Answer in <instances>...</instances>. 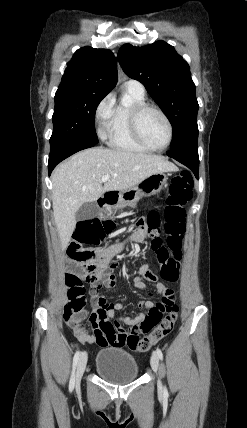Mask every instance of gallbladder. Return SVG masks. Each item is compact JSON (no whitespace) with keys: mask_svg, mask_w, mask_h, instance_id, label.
Masks as SVG:
<instances>
[{"mask_svg":"<svg viewBox=\"0 0 247 428\" xmlns=\"http://www.w3.org/2000/svg\"><path fill=\"white\" fill-rule=\"evenodd\" d=\"M99 213V207L96 202L84 203L76 212L77 221H85L96 217Z\"/></svg>","mask_w":247,"mask_h":428,"instance_id":"obj_1","label":"gallbladder"}]
</instances>
